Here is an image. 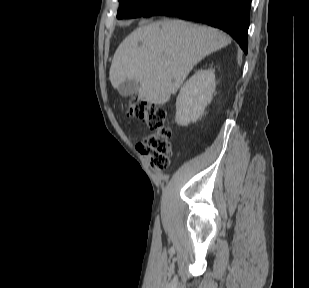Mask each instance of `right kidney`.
<instances>
[{
	"mask_svg": "<svg viewBox=\"0 0 309 288\" xmlns=\"http://www.w3.org/2000/svg\"><path fill=\"white\" fill-rule=\"evenodd\" d=\"M214 69L199 70L181 87L175 120L180 126L196 122L211 102L216 87Z\"/></svg>",
	"mask_w": 309,
	"mask_h": 288,
	"instance_id": "ca27d5eb",
	"label": "right kidney"
}]
</instances>
